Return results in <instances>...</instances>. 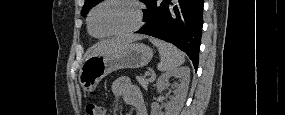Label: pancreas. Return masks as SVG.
Listing matches in <instances>:
<instances>
[{
	"label": "pancreas",
	"instance_id": "pancreas-1",
	"mask_svg": "<svg viewBox=\"0 0 285 115\" xmlns=\"http://www.w3.org/2000/svg\"><path fill=\"white\" fill-rule=\"evenodd\" d=\"M136 79L139 82V84L145 89L147 88V86L151 81V79H147L146 76H137Z\"/></svg>",
	"mask_w": 285,
	"mask_h": 115
}]
</instances>
